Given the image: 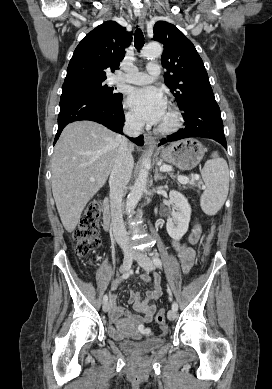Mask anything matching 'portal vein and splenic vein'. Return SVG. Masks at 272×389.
<instances>
[{"mask_svg": "<svg viewBox=\"0 0 272 389\" xmlns=\"http://www.w3.org/2000/svg\"><path fill=\"white\" fill-rule=\"evenodd\" d=\"M160 171H161V172H169V171H172V167L169 166V165H162V166L160 167ZM193 180H199V176H198V175H195V176L193 177ZM178 181H179L181 184H186V183L190 182V180H189L187 177H185V176H178Z\"/></svg>", "mask_w": 272, "mask_h": 389, "instance_id": "obj_1", "label": "portal vein and splenic vein"}]
</instances>
